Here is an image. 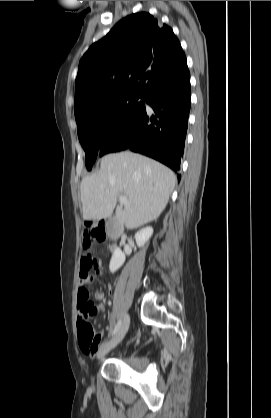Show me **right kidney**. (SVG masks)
<instances>
[{"label": "right kidney", "mask_w": 271, "mask_h": 418, "mask_svg": "<svg viewBox=\"0 0 271 418\" xmlns=\"http://www.w3.org/2000/svg\"><path fill=\"white\" fill-rule=\"evenodd\" d=\"M153 234V228L152 227H145L141 230H139L135 234V241L138 247H143L145 243L149 240V238ZM125 262V254L121 251L120 248H117L110 260L109 269L110 272L114 273L116 272Z\"/></svg>", "instance_id": "obj_1"}]
</instances>
